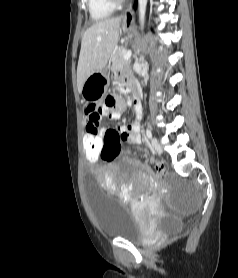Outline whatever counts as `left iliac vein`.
<instances>
[{
    "label": "left iliac vein",
    "mask_w": 238,
    "mask_h": 278,
    "mask_svg": "<svg viewBox=\"0 0 238 278\" xmlns=\"http://www.w3.org/2000/svg\"><path fill=\"white\" fill-rule=\"evenodd\" d=\"M151 144H152V147L154 148V150L157 153L161 154L163 152L162 147H161V145L159 144V142H158V140L156 138H153L151 140Z\"/></svg>",
    "instance_id": "4c4485c4"
}]
</instances>
